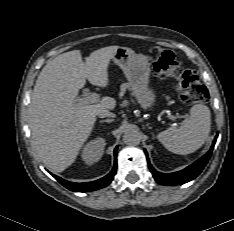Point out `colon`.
I'll return each mask as SVG.
<instances>
[{"label": "colon", "mask_w": 234, "mask_h": 231, "mask_svg": "<svg viewBox=\"0 0 234 231\" xmlns=\"http://www.w3.org/2000/svg\"><path fill=\"white\" fill-rule=\"evenodd\" d=\"M152 69L157 76L176 81L179 97L183 103L191 105L207 99L208 91L196 73L183 69L173 52L169 50L159 52Z\"/></svg>", "instance_id": "1"}]
</instances>
